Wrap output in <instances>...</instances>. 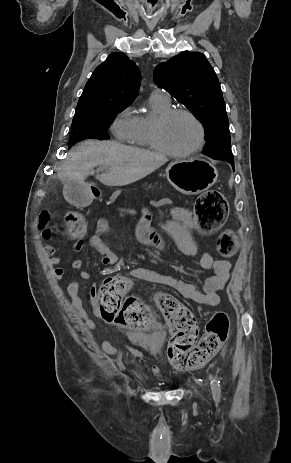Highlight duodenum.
<instances>
[{"instance_id": "410a0bca", "label": "duodenum", "mask_w": 291, "mask_h": 463, "mask_svg": "<svg viewBox=\"0 0 291 463\" xmlns=\"http://www.w3.org/2000/svg\"><path fill=\"white\" fill-rule=\"evenodd\" d=\"M91 195H92L93 198L96 199V198L100 197L101 193H100V191L98 189H92ZM158 246H160V245H158Z\"/></svg>"}]
</instances>
